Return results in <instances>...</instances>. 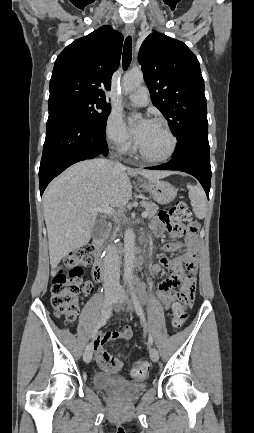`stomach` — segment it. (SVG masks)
Instances as JSON below:
<instances>
[{"instance_id":"obj_1","label":"stomach","mask_w":254,"mask_h":433,"mask_svg":"<svg viewBox=\"0 0 254 433\" xmlns=\"http://www.w3.org/2000/svg\"><path fill=\"white\" fill-rule=\"evenodd\" d=\"M143 186L159 204H168L173 201L177 195V189L166 181L151 180L144 182Z\"/></svg>"}]
</instances>
